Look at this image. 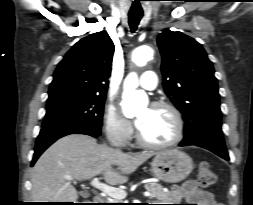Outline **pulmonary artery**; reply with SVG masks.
Returning <instances> with one entry per match:
<instances>
[{
  "label": "pulmonary artery",
  "instance_id": "pulmonary-artery-1",
  "mask_svg": "<svg viewBox=\"0 0 253 205\" xmlns=\"http://www.w3.org/2000/svg\"><path fill=\"white\" fill-rule=\"evenodd\" d=\"M158 83V78L155 72L153 71H145L139 81V84L142 88L146 90H153L156 88Z\"/></svg>",
  "mask_w": 253,
  "mask_h": 205
}]
</instances>
